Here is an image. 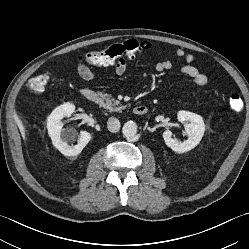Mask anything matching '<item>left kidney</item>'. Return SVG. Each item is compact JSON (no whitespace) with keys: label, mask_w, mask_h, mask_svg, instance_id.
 Returning a JSON list of instances; mask_svg holds the SVG:
<instances>
[{"label":"left kidney","mask_w":249,"mask_h":249,"mask_svg":"<svg viewBox=\"0 0 249 249\" xmlns=\"http://www.w3.org/2000/svg\"><path fill=\"white\" fill-rule=\"evenodd\" d=\"M177 119L184 124L188 139L179 142L177 139L172 138V132L170 130L163 132V139L165 144L174 152L184 153L199 144L204 135L205 124L200 115L184 110L177 113Z\"/></svg>","instance_id":"left-kidney-1"}]
</instances>
